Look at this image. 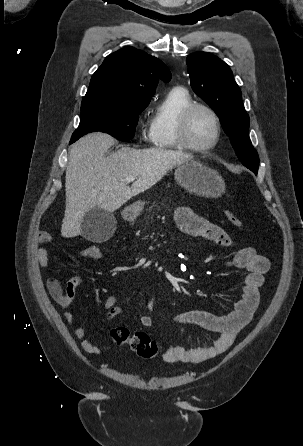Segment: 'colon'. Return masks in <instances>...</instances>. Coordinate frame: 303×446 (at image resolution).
I'll return each instance as SVG.
<instances>
[{
  "mask_svg": "<svg viewBox=\"0 0 303 446\" xmlns=\"http://www.w3.org/2000/svg\"><path fill=\"white\" fill-rule=\"evenodd\" d=\"M228 221L235 227H242L241 219L232 211H226ZM103 250L100 246L92 245L86 248L84 256L90 260H99ZM114 343L128 345L140 357L150 359L156 356L158 346L145 332L131 333L126 327H115L110 331Z\"/></svg>",
  "mask_w": 303,
  "mask_h": 446,
  "instance_id": "1",
  "label": "colon"
}]
</instances>
